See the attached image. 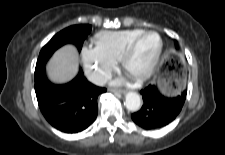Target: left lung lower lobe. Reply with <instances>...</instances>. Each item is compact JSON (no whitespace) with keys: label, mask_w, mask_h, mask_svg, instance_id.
<instances>
[{"label":"left lung lower lobe","mask_w":225,"mask_h":155,"mask_svg":"<svg viewBox=\"0 0 225 155\" xmlns=\"http://www.w3.org/2000/svg\"><path fill=\"white\" fill-rule=\"evenodd\" d=\"M144 104L131 115L133 121L144 129H156L172 122L180 113L186 98V91L175 97H165L154 85L141 90Z\"/></svg>","instance_id":"1"}]
</instances>
